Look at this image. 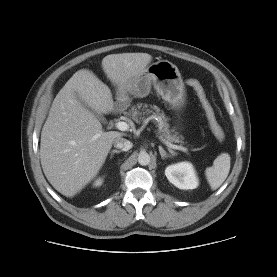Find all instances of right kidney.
<instances>
[{
    "mask_svg": "<svg viewBox=\"0 0 277 277\" xmlns=\"http://www.w3.org/2000/svg\"><path fill=\"white\" fill-rule=\"evenodd\" d=\"M102 182H103V180L101 178H99L94 182V186H100V185H102Z\"/></svg>",
    "mask_w": 277,
    "mask_h": 277,
    "instance_id": "right-kidney-1",
    "label": "right kidney"
}]
</instances>
